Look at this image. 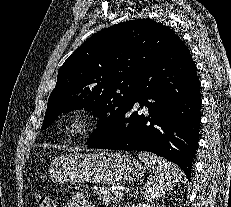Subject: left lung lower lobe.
Masks as SVG:
<instances>
[{"label": "left lung lower lobe", "instance_id": "0a47b994", "mask_svg": "<svg viewBox=\"0 0 231 207\" xmlns=\"http://www.w3.org/2000/svg\"><path fill=\"white\" fill-rule=\"evenodd\" d=\"M138 88L118 129L88 147L153 152L177 164L190 180L199 141L201 95L196 65L180 38L140 75ZM143 106L147 114L139 113Z\"/></svg>", "mask_w": 231, "mask_h": 207}]
</instances>
